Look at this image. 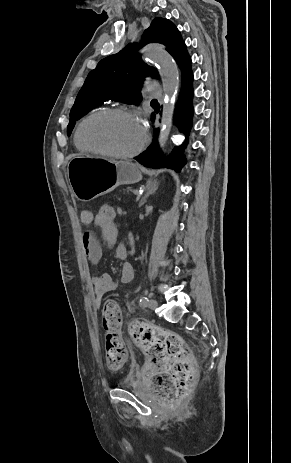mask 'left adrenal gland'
Segmentation results:
<instances>
[{
    "label": "left adrenal gland",
    "mask_w": 291,
    "mask_h": 463,
    "mask_svg": "<svg viewBox=\"0 0 291 463\" xmlns=\"http://www.w3.org/2000/svg\"><path fill=\"white\" fill-rule=\"evenodd\" d=\"M159 183L157 181L149 182L146 186V192L143 195L139 207L143 206L146 202V199L149 195L153 194L158 189Z\"/></svg>",
    "instance_id": "1"
}]
</instances>
